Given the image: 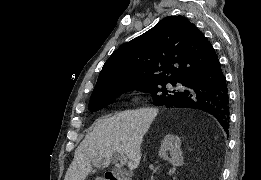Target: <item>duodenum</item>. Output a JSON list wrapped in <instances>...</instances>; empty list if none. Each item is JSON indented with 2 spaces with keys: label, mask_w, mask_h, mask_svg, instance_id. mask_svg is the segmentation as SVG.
Wrapping results in <instances>:
<instances>
[{
  "label": "duodenum",
  "mask_w": 261,
  "mask_h": 180,
  "mask_svg": "<svg viewBox=\"0 0 261 180\" xmlns=\"http://www.w3.org/2000/svg\"><path fill=\"white\" fill-rule=\"evenodd\" d=\"M104 180H129V178L122 177V173H105Z\"/></svg>",
  "instance_id": "duodenum-1"
}]
</instances>
